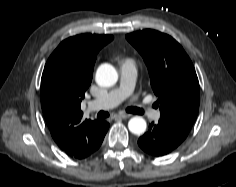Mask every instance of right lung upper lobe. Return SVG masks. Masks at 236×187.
<instances>
[{
  "label": "right lung upper lobe",
  "instance_id": "1",
  "mask_svg": "<svg viewBox=\"0 0 236 187\" xmlns=\"http://www.w3.org/2000/svg\"><path fill=\"white\" fill-rule=\"evenodd\" d=\"M111 35L81 34L62 41L48 58L41 78V107L58 146L77 159L88 157L103 120H82L80 104L91 84L96 55Z\"/></svg>",
  "mask_w": 236,
  "mask_h": 187
}]
</instances>
